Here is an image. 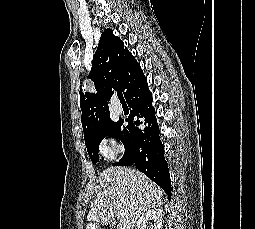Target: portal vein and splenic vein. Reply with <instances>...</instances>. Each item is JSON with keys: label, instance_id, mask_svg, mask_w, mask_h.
I'll return each mask as SVG.
<instances>
[{"label": "portal vein and splenic vein", "instance_id": "portal-vein-and-splenic-vein-1", "mask_svg": "<svg viewBox=\"0 0 255 229\" xmlns=\"http://www.w3.org/2000/svg\"><path fill=\"white\" fill-rule=\"evenodd\" d=\"M124 212L122 210L118 211V216H123Z\"/></svg>", "mask_w": 255, "mask_h": 229}]
</instances>
